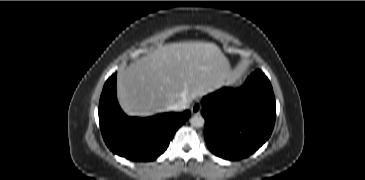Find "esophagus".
Masks as SVG:
<instances>
[{"label":"esophagus","mask_w":365,"mask_h":180,"mask_svg":"<svg viewBox=\"0 0 365 180\" xmlns=\"http://www.w3.org/2000/svg\"><path fill=\"white\" fill-rule=\"evenodd\" d=\"M201 108H202L201 104H199V103H194V104L191 106V113H192L193 115H198V114H200V112H201Z\"/></svg>","instance_id":"1"}]
</instances>
